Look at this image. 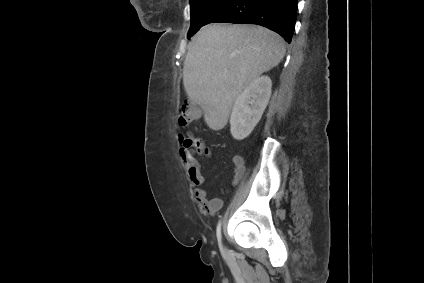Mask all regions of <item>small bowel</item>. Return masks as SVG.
Listing matches in <instances>:
<instances>
[{"instance_id":"small-bowel-1","label":"small bowel","mask_w":424,"mask_h":283,"mask_svg":"<svg viewBox=\"0 0 424 283\" xmlns=\"http://www.w3.org/2000/svg\"><path fill=\"white\" fill-rule=\"evenodd\" d=\"M179 155L187 174L195 186L194 195L196 200L210 213L214 214L223 206L220 198H209L207 191L202 188L205 183V177L202 174L199 164L193 159L187 149L185 137L178 136ZM234 164V176L232 184L236 185L242 179L245 171L244 158L241 155H235L232 159Z\"/></svg>"}]
</instances>
